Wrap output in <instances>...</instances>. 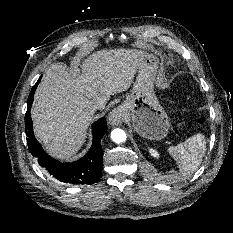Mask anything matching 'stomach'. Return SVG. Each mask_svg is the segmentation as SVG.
Masks as SVG:
<instances>
[{
  "label": "stomach",
  "mask_w": 233,
  "mask_h": 233,
  "mask_svg": "<svg viewBox=\"0 0 233 233\" xmlns=\"http://www.w3.org/2000/svg\"><path fill=\"white\" fill-rule=\"evenodd\" d=\"M156 65V57L144 53L131 93L118 108L134 131L149 140L165 138L170 128L168 116L154 93Z\"/></svg>",
  "instance_id": "0dacf381"
}]
</instances>
